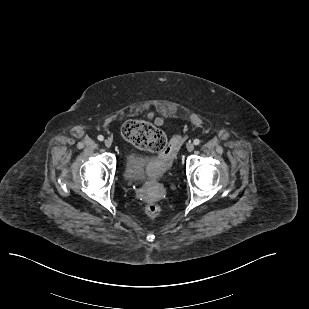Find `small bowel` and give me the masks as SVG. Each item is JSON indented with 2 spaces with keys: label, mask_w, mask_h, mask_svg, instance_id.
<instances>
[{
  "label": "small bowel",
  "mask_w": 309,
  "mask_h": 309,
  "mask_svg": "<svg viewBox=\"0 0 309 309\" xmlns=\"http://www.w3.org/2000/svg\"><path fill=\"white\" fill-rule=\"evenodd\" d=\"M148 118L151 119L156 125H161L163 123V119L155 116L153 112L148 113Z\"/></svg>",
  "instance_id": "1"
}]
</instances>
